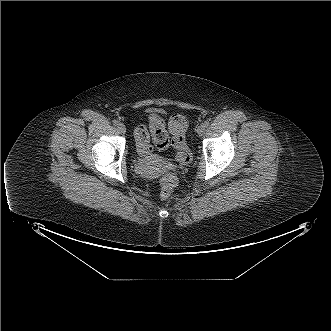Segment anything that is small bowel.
Masks as SVG:
<instances>
[{
  "label": "small bowel",
  "instance_id": "obj_1",
  "mask_svg": "<svg viewBox=\"0 0 331 331\" xmlns=\"http://www.w3.org/2000/svg\"><path fill=\"white\" fill-rule=\"evenodd\" d=\"M160 122L163 124V121L161 119H160ZM139 128H143V127H139ZM139 128L136 131V142H137L138 150H139V152L141 154H148L151 151L150 145H149V147L146 150H142L141 149V138H140V135L138 133ZM143 130H144V132L146 134L147 139L149 140V135H148L147 130L145 128H143ZM150 130H151V132H153L152 126H150Z\"/></svg>",
  "mask_w": 331,
  "mask_h": 331
}]
</instances>
